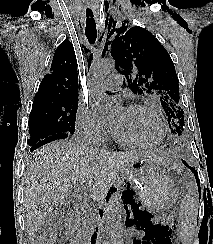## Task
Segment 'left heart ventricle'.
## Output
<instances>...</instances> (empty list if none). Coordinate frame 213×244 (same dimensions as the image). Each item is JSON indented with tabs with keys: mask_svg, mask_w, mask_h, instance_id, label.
<instances>
[{
	"mask_svg": "<svg viewBox=\"0 0 213 244\" xmlns=\"http://www.w3.org/2000/svg\"><path fill=\"white\" fill-rule=\"evenodd\" d=\"M112 121L117 131L131 141L154 143L161 137L160 125L146 110L120 109Z\"/></svg>",
	"mask_w": 213,
	"mask_h": 244,
	"instance_id": "b2bd125f",
	"label": "left heart ventricle"
}]
</instances>
